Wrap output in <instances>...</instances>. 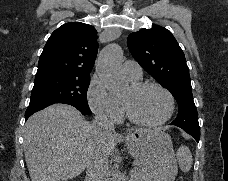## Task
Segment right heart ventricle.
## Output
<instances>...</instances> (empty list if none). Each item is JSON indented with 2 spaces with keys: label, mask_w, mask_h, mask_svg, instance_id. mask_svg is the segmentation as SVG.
<instances>
[{
  "label": "right heart ventricle",
  "mask_w": 228,
  "mask_h": 181,
  "mask_svg": "<svg viewBox=\"0 0 228 181\" xmlns=\"http://www.w3.org/2000/svg\"><path fill=\"white\" fill-rule=\"evenodd\" d=\"M128 79H130V78H128ZM141 79V77L139 78V79H130L132 82H138L139 80Z\"/></svg>",
  "instance_id": "right-heart-ventricle-1"
}]
</instances>
